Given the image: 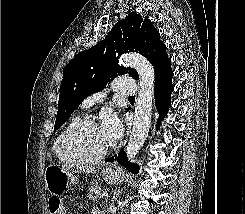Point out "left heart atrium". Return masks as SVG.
<instances>
[{"mask_svg": "<svg viewBox=\"0 0 245 214\" xmlns=\"http://www.w3.org/2000/svg\"><path fill=\"white\" fill-rule=\"evenodd\" d=\"M100 130L110 147L120 138L122 134V125L115 116H108L100 125Z\"/></svg>", "mask_w": 245, "mask_h": 214, "instance_id": "left-heart-atrium-1", "label": "left heart atrium"}]
</instances>
